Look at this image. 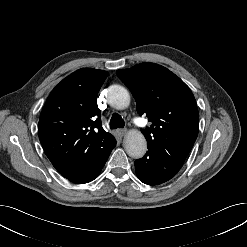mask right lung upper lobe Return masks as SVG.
I'll return each mask as SVG.
<instances>
[{"label":"right lung upper lobe","mask_w":247,"mask_h":247,"mask_svg":"<svg viewBox=\"0 0 247 247\" xmlns=\"http://www.w3.org/2000/svg\"><path fill=\"white\" fill-rule=\"evenodd\" d=\"M108 73L82 68L50 93L39 119V139L46 156L63 174L104 155L116 142L102 128L98 92Z\"/></svg>","instance_id":"cb5924a9"}]
</instances>
